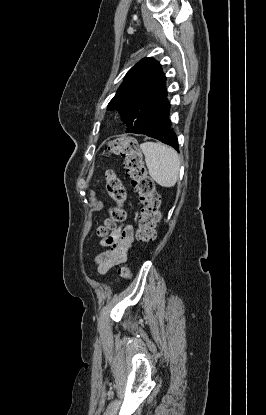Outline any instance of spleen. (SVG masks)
Instances as JSON below:
<instances>
[{
    "label": "spleen",
    "instance_id": "3e777b00",
    "mask_svg": "<svg viewBox=\"0 0 266 415\" xmlns=\"http://www.w3.org/2000/svg\"><path fill=\"white\" fill-rule=\"evenodd\" d=\"M140 148L152 180L162 187L174 186L180 169L177 152L167 145L155 142L142 143Z\"/></svg>",
    "mask_w": 266,
    "mask_h": 415
}]
</instances>
